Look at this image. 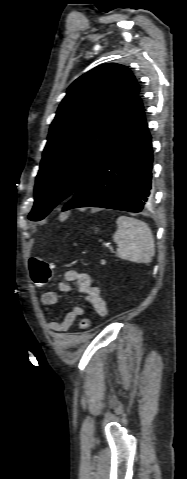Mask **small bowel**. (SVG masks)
Here are the masks:
<instances>
[{"label":"small bowel","mask_w":187,"mask_h":479,"mask_svg":"<svg viewBox=\"0 0 187 479\" xmlns=\"http://www.w3.org/2000/svg\"><path fill=\"white\" fill-rule=\"evenodd\" d=\"M58 290L63 293H75L81 295L83 299L93 307L99 316L104 317L108 313L106 301L102 297L99 288L92 284L91 277L87 273L73 269L66 271L64 274V281L58 284ZM59 300L58 293L54 291H46L40 297V302L46 306L54 305L58 303ZM83 314L84 309L81 306L76 305L69 313H67L63 321H47L46 325L55 333H65L69 331L75 320Z\"/></svg>","instance_id":"1"}]
</instances>
